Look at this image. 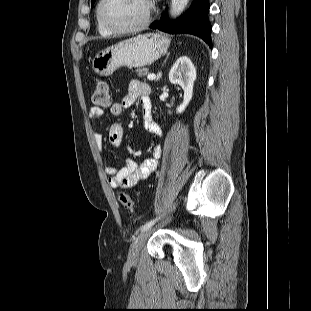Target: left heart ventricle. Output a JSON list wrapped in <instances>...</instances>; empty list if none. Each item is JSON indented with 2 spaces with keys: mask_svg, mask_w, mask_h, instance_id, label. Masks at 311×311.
Instances as JSON below:
<instances>
[{
  "mask_svg": "<svg viewBox=\"0 0 311 311\" xmlns=\"http://www.w3.org/2000/svg\"><path fill=\"white\" fill-rule=\"evenodd\" d=\"M146 10V0H108L104 6V16L113 25L126 28L139 23Z\"/></svg>",
  "mask_w": 311,
  "mask_h": 311,
  "instance_id": "left-heart-ventricle-1",
  "label": "left heart ventricle"
}]
</instances>
